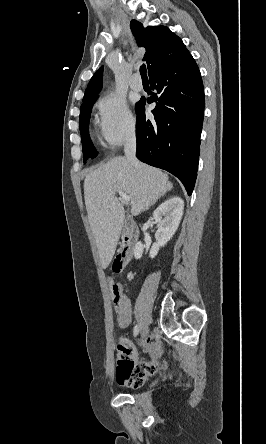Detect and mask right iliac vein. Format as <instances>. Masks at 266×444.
<instances>
[{"label":"right iliac vein","instance_id":"1","mask_svg":"<svg viewBox=\"0 0 266 444\" xmlns=\"http://www.w3.org/2000/svg\"><path fill=\"white\" fill-rule=\"evenodd\" d=\"M148 331H149L148 326H147V325H144V326L141 328V331H140V338H141V339H144V338L147 336Z\"/></svg>","mask_w":266,"mask_h":444}]
</instances>
